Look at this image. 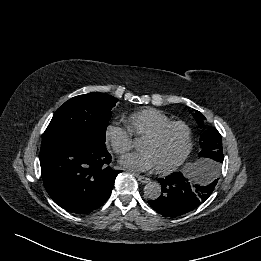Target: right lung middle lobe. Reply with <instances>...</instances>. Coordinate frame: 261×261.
Listing matches in <instances>:
<instances>
[{"label":"right lung middle lobe","instance_id":"dd1d6c3e","mask_svg":"<svg viewBox=\"0 0 261 261\" xmlns=\"http://www.w3.org/2000/svg\"><path fill=\"white\" fill-rule=\"evenodd\" d=\"M117 99L92 92L65 102L54 114L45 130L42 145L70 138H90L105 143L111 109Z\"/></svg>","mask_w":261,"mask_h":261}]
</instances>
